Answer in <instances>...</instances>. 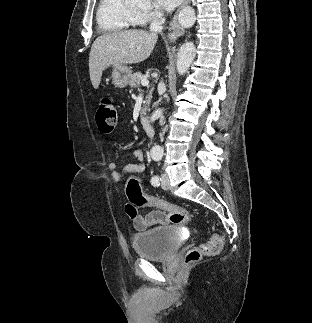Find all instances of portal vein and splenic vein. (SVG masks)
<instances>
[{
    "instance_id": "portal-vein-and-splenic-vein-1",
    "label": "portal vein and splenic vein",
    "mask_w": 312,
    "mask_h": 323,
    "mask_svg": "<svg viewBox=\"0 0 312 323\" xmlns=\"http://www.w3.org/2000/svg\"><path fill=\"white\" fill-rule=\"evenodd\" d=\"M141 84L142 86H149L148 80H142Z\"/></svg>"
}]
</instances>
